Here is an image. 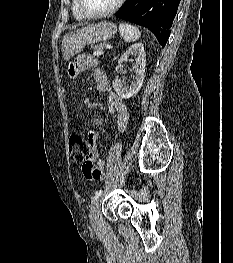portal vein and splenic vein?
<instances>
[{
    "instance_id": "18ae733b",
    "label": "portal vein and splenic vein",
    "mask_w": 233,
    "mask_h": 263,
    "mask_svg": "<svg viewBox=\"0 0 233 263\" xmlns=\"http://www.w3.org/2000/svg\"><path fill=\"white\" fill-rule=\"evenodd\" d=\"M102 54H104V52H103L102 50H97V51H95V52L93 53V55H95V56H100V55H102Z\"/></svg>"
}]
</instances>
